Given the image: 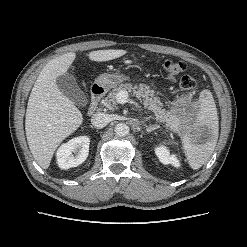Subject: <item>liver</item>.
Wrapping results in <instances>:
<instances>
[{"label":"liver","mask_w":247,"mask_h":247,"mask_svg":"<svg viewBox=\"0 0 247 247\" xmlns=\"http://www.w3.org/2000/svg\"><path fill=\"white\" fill-rule=\"evenodd\" d=\"M120 49L89 53L91 61L105 62L125 55ZM76 58L69 52L49 61L41 70L29 96L25 131L30 151L36 162L47 169L56 148L83 122L81 111L58 88L56 79L65 74Z\"/></svg>","instance_id":"obj_1"}]
</instances>
